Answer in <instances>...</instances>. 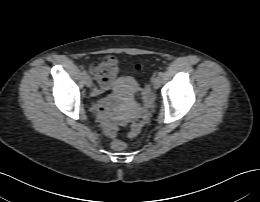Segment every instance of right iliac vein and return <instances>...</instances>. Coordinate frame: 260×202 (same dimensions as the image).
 I'll use <instances>...</instances> for the list:
<instances>
[{
  "instance_id": "obj_1",
  "label": "right iliac vein",
  "mask_w": 260,
  "mask_h": 202,
  "mask_svg": "<svg viewBox=\"0 0 260 202\" xmlns=\"http://www.w3.org/2000/svg\"><path fill=\"white\" fill-rule=\"evenodd\" d=\"M84 81H85V84H86L87 87L92 86V79H91L90 76L86 75Z\"/></svg>"
}]
</instances>
